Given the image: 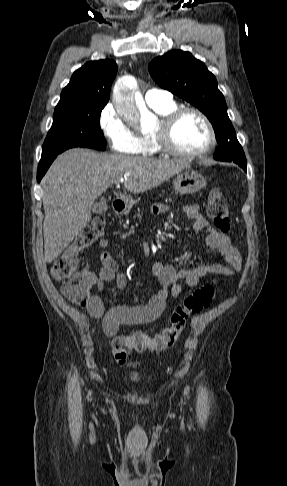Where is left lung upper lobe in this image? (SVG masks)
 I'll use <instances>...</instances> for the list:
<instances>
[{
    "instance_id": "obj_1",
    "label": "left lung upper lobe",
    "mask_w": 287,
    "mask_h": 486,
    "mask_svg": "<svg viewBox=\"0 0 287 486\" xmlns=\"http://www.w3.org/2000/svg\"><path fill=\"white\" fill-rule=\"evenodd\" d=\"M154 81L202 111L212 123L219 144L214 159L246 161L244 151L227 114V105L215 76L189 52L174 50L149 64Z\"/></svg>"
}]
</instances>
